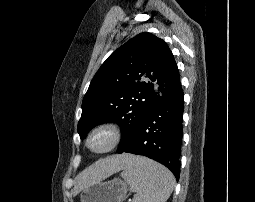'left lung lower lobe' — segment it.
<instances>
[{
  "instance_id": "0a47b994",
  "label": "left lung lower lobe",
  "mask_w": 255,
  "mask_h": 202,
  "mask_svg": "<svg viewBox=\"0 0 255 202\" xmlns=\"http://www.w3.org/2000/svg\"><path fill=\"white\" fill-rule=\"evenodd\" d=\"M183 90L181 86L164 96L147 114L135 135L118 153L149 157L180 176Z\"/></svg>"
}]
</instances>
